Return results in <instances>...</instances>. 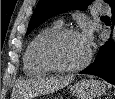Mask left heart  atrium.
<instances>
[{
	"mask_svg": "<svg viewBox=\"0 0 115 99\" xmlns=\"http://www.w3.org/2000/svg\"><path fill=\"white\" fill-rule=\"evenodd\" d=\"M81 37H82L84 43L86 44V46L89 48L91 41H92L91 32L89 30H87L81 35Z\"/></svg>",
	"mask_w": 115,
	"mask_h": 99,
	"instance_id": "1",
	"label": "left heart atrium"
}]
</instances>
